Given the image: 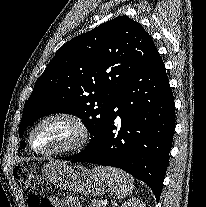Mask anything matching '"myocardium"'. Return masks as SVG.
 <instances>
[{
  "instance_id": "myocardium-1",
  "label": "myocardium",
  "mask_w": 206,
  "mask_h": 207,
  "mask_svg": "<svg viewBox=\"0 0 206 207\" xmlns=\"http://www.w3.org/2000/svg\"><path fill=\"white\" fill-rule=\"evenodd\" d=\"M56 119L66 120L71 124H73L77 130V137L70 144L63 146L61 148L48 149V150L36 148L33 143V137L36 130L45 122H48L50 120H56ZM90 137H91L90 128L81 117L68 112H58L43 117L33 126V128L29 133L28 143L30 148L38 154L61 155V154L73 153L83 149L88 144Z\"/></svg>"
}]
</instances>
